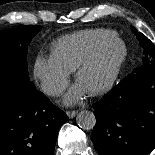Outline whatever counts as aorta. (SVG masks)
<instances>
[{
	"instance_id": "aorta-1",
	"label": "aorta",
	"mask_w": 155,
	"mask_h": 155,
	"mask_svg": "<svg viewBox=\"0 0 155 155\" xmlns=\"http://www.w3.org/2000/svg\"><path fill=\"white\" fill-rule=\"evenodd\" d=\"M77 125L84 129V130H90L93 129V127L96 124V118L93 112L88 110H82L78 113L76 117Z\"/></svg>"
}]
</instances>
